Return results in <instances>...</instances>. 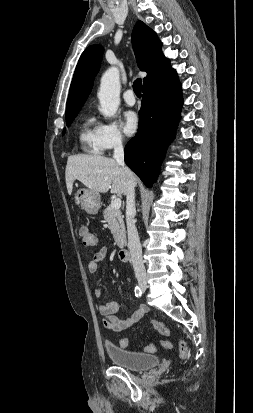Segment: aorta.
Segmentation results:
<instances>
[{
  "label": "aorta",
  "instance_id": "1",
  "mask_svg": "<svg viewBox=\"0 0 253 413\" xmlns=\"http://www.w3.org/2000/svg\"><path fill=\"white\" fill-rule=\"evenodd\" d=\"M100 111L106 117H112L120 105L119 70L110 67L102 76L98 92Z\"/></svg>",
  "mask_w": 253,
  "mask_h": 413
}]
</instances>
